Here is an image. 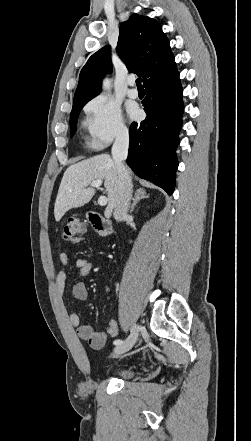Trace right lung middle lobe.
Segmentation results:
<instances>
[{
  "label": "right lung middle lobe",
  "instance_id": "1",
  "mask_svg": "<svg viewBox=\"0 0 251 441\" xmlns=\"http://www.w3.org/2000/svg\"><path fill=\"white\" fill-rule=\"evenodd\" d=\"M92 98L89 99H80V100H76L73 101V108L70 114V129H71V136L74 135V133L76 132L77 129V120H78V116L80 111L82 110V108L84 107V105L90 101Z\"/></svg>",
  "mask_w": 251,
  "mask_h": 441
}]
</instances>
